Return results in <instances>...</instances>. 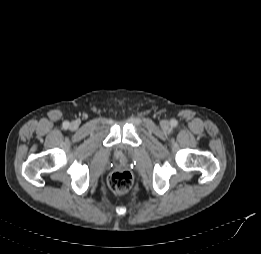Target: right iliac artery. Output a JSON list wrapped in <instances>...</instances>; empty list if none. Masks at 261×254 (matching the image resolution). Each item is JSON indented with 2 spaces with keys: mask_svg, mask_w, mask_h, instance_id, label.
Wrapping results in <instances>:
<instances>
[{
  "mask_svg": "<svg viewBox=\"0 0 261 254\" xmlns=\"http://www.w3.org/2000/svg\"><path fill=\"white\" fill-rule=\"evenodd\" d=\"M68 126H69V122L65 121V122L63 123V127H64V128H68Z\"/></svg>",
  "mask_w": 261,
  "mask_h": 254,
  "instance_id": "1",
  "label": "right iliac artery"
}]
</instances>
